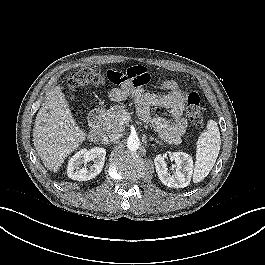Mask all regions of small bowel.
Masks as SVG:
<instances>
[{
  "instance_id": "small-bowel-1",
  "label": "small bowel",
  "mask_w": 265,
  "mask_h": 265,
  "mask_svg": "<svg viewBox=\"0 0 265 265\" xmlns=\"http://www.w3.org/2000/svg\"><path fill=\"white\" fill-rule=\"evenodd\" d=\"M140 77L149 82V74L144 67H133ZM145 85V84H143ZM143 85H136L131 81L122 84L120 87L110 91L109 96L113 101H122L132 96L137 105V112L140 118L150 122L151 126L166 142L171 144L178 143L185 130L186 121L183 117L185 95L179 88L175 80H166L162 84L164 94H154L142 89ZM158 107L167 109L170 112L171 120L164 117H150V108Z\"/></svg>"
}]
</instances>
